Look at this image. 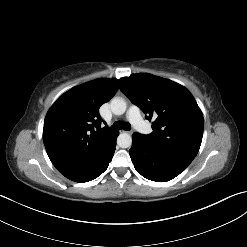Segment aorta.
<instances>
[{
	"label": "aorta",
	"instance_id": "1",
	"mask_svg": "<svg viewBox=\"0 0 247 247\" xmlns=\"http://www.w3.org/2000/svg\"><path fill=\"white\" fill-rule=\"evenodd\" d=\"M126 107V102L121 97H114L111 100L110 108L115 115L124 114ZM117 144L121 148H129L132 145V137L128 133H121L117 138Z\"/></svg>",
	"mask_w": 247,
	"mask_h": 247
}]
</instances>
